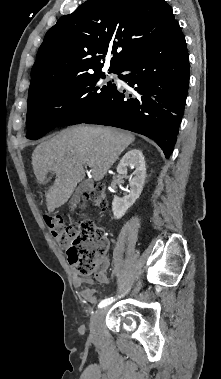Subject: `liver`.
<instances>
[{
	"label": "liver",
	"instance_id": "1",
	"mask_svg": "<svg viewBox=\"0 0 221 379\" xmlns=\"http://www.w3.org/2000/svg\"><path fill=\"white\" fill-rule=\"evenodd\" d=\"M134 140L130 132L116 128L78 126L39 144L32 154L37 180L44 183L49 172L56 175L53 185L45 192L49 213L68 201L85 177L86 164H91L93 179L100 181Z\"/></svg>",
	"mask_w": 221,
	"mask_h": 379
}]
</instances>
